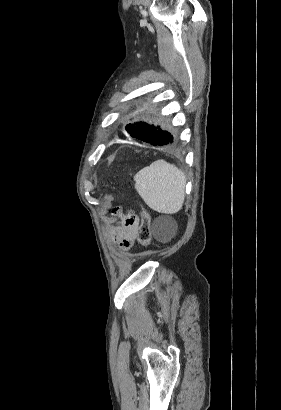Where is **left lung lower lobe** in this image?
Instances as JSON below:
<instances>
[{
	"mask_svg": "<svg viewBox=\"0 0 281 410\" xmlns=\"http://www.w3.org/2000/svg\"><path fill=\"white\" fill-rule=\"evenodd\" d=\"M127 132L134 138L140 139L151 145H172L173 136L160 126H154L140 122L137 124H129L126 127Z\"/></svg>",
	"mask_w": 281,
	"mask_h": 410,
	"instance_id": "0a47b994",
	"label": "left lung lower lobe"
}]
</instances>
